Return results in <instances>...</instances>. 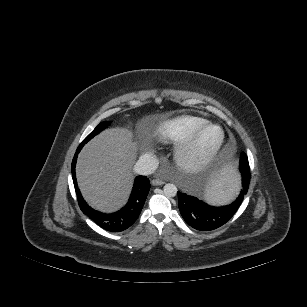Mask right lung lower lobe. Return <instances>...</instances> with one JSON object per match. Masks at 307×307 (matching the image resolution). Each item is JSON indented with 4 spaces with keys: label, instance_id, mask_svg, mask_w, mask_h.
<instances>
[{
    "label": "right lung lower lobe",
    "instance_id": "right-lung-lower-lobe-1",
    "mask_svg": "<svg viewBox=\"0 0 307 307\" xmlns=\"http://www.w3.org/2000/svg\"><path fill=\"white\" fill-rule=\"evenodd\" d=\"M83 146L80 144L72 161V178L78 198L81 211L90 217L101 228L110 232H120L130 227L138 218L146 197L150 190L149 179L145 176H138L135 179L134 186L128 203L119 211L112 214H104L92 209L83 199L77 186L75 176V165L77 154Z\"/></svg>",
    "mask_w": 307,
    "mask_h": 307
}]
</instances>
